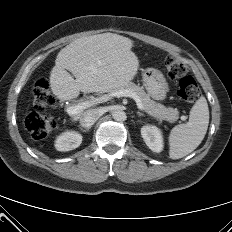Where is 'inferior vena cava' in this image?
Returning a JSON list of instances; mask_svg holds the SVG:
<instances>
[{
    "label": "inferior vena cava",
    "instance_id": "inferior-vena-cava-1",
    "mask_svg": "<svg viewBox=\"0 0 232 232\" xmlns=\"http://www.w3.org/2000/svg\"><path fill=\"white\" fill-rule=\"evenodd\" d=\"M102 114V110L98 108L87 110L80 117V124L85 128H89L102 116Z\"/></svg>",
    "mask_w": 232,
    "mask_h": 232
}]
</instances>
